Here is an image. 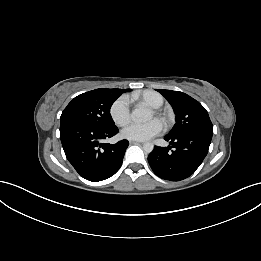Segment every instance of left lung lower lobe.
<instances>
[{"label":"left lung lower lobe","mask_w":261,"mask_h":261,"mask_svg":"<svg viewBox=\"0 0 261 261\" xmlns=\"http://www.w3.org/2000/svg\"><path fill=\"white\" fill-rule=\"evenodd\" d=\"M164 139L171 146H155L148 156V162L160 178L180 181L191 176L200 166L208 153L212 133L197 131L176 136L167 135Z\"/></svg>","instance_id":"1"}]
</instances>
